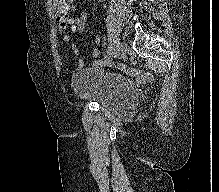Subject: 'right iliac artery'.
I'll use <instances>...</instances> for the list:
<instances>
[{
    "label": "right iliac artery",
    "instance_id": "obj_1",
    "mask_svg": "<svg viewBox=\"0 0 219 192\" xmlns=\"http://www.w3.org/2000/svg\"><path fill=\"white\" fill-rule=\"evenodd\" d=\"M112 52H113V45H112V43H111V44L109 45V47H108V50H107L105 56H104V60H105V61H107V60L111 57Z\"/></svg>",
    "mask_w": 219,
    "mask_h": 192
}]
</instances>
